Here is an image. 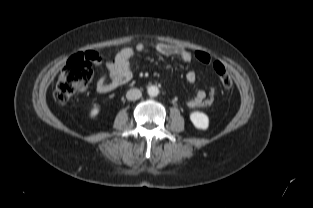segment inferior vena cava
<instances>
[{"mask_svg":"<svg viewBox=\"0 0 313 208\" xmlns=\"http://www.w3.org/2000/svg\"><path fill=\"white\" fill-rule=\"evenodd\" d=\"M141 96H142V93L139 89H130L126 93V98L130 101L137 100V99L141 98Z\"/></svg>","mask_w":313,"mask_h":208,"instance_id":"inferior-vena-cava-1","label":"inferior vena cava"}]
</instances>
